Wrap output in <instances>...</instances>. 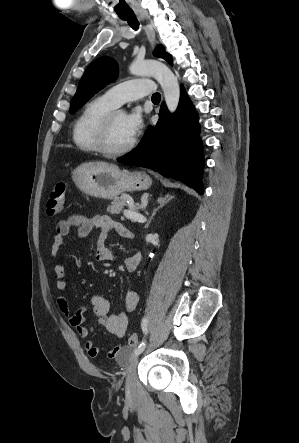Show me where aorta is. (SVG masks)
<instances>
[{
    "instance_id": "aorta-1",
    "label": "aorta",
    "mask_w": 299,
    "mask_h": 443,
    "mask_svg": "<svg viewBox=\"0 0 299 443\" xmlns=\"http://www.w3.org/2000/svg\"><path fill=\"white\" fill-rule=\"evenodd\" d=\"M129 71L136 76H152L161 85L169 112L174 113L180 100V88L177 77L163 63L152 60L134 61Z\"/></svg>"
}]
</instances>
